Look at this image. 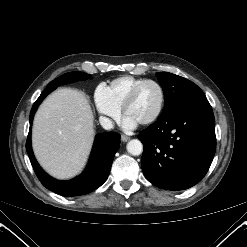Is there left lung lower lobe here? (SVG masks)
I'll return each instance as SVG.
<instances>
[{"label": "left lung lower lobe", "mask_w": 247, "mask_h": 247, "mask_svg": "<svg viewBox=\"0 0 247 247\" xmlns=\"http://www.w3.org/2000/svg\"><path fill=\"white\" fill-rule=\"evenodd\" d=\"M138 139L145 177L159 188L184 190L207 173L216 150L215 120L204 94L188 97L161 114Z\"/></svg>", "instance_id": "1"}]
</instances>
